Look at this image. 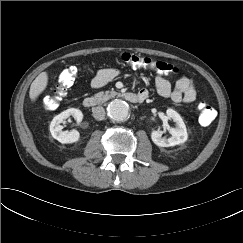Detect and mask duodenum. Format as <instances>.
<instances>
[{
	"label": "duodenum",
	"instance_id": "duodenum-1",
	"mask_svg": "<svg viewBox=\"0 0 243 243\" xmlns=\"http://www.w3.org/2000/svg\"><path fill=\"white\" fill-rule=\"evenodd\" d=\"M122 97L131 103L143 102L146 99L145 95L138 93L127 92L122 95ZM101 103V99L97 97H87L83 100V105L86 108H93Z\"/></svg>",
	"mask_w": 243,
	"mask_h": 243
}]
</instances>
